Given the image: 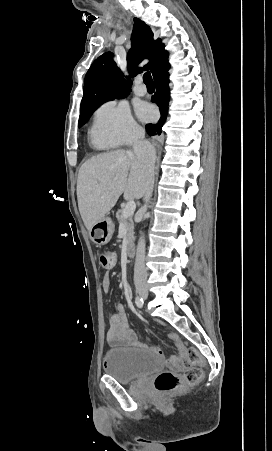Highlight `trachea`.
<instances>
[{"label":"trachea","instance_id":"obj_1","mask_svg":"<svg viewBox=\"0 0 272 451\" xmlns=\"http://www.w3.org/2000/svg\"><path fill=\"white\" fill-rule=\"evenodd\" d=\"M143 81H144L145 85H154V82H153V80H152V77H151V75H150V72H146V73L143 75Z\"/></svg>","mask_w":272,"mask_h":451}]
</instances>
